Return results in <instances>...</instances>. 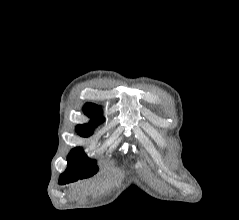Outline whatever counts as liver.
<instances>
[{
  "mask_svg": "<svg viewBox=\"0 0 239 220\" xmlns=\"http://www.w3.org/2000/svg\"><path fill=\"white\" fill-rule=\"evenodd\" d=\"M94 189V185L89 184H77L75 186V190L82 191L83 193H88L89 191H92Z\"/></svg>",
  "mask_w": 239,
  "mask_h": 220,
  "instance_id": "obj_1",
  "label": "liver"
}]
</instances>
